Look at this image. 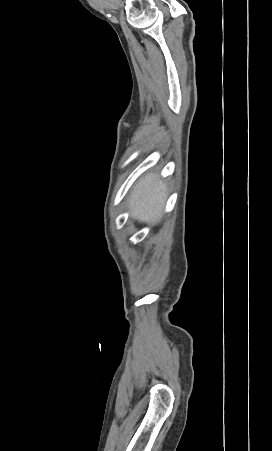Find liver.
Returning a JSON list of instances; mask_svg holds the SVG:
<instances>
[{
	"instance_id": "6515ba94",
	"label": "liver",
	"mask_w": 272,
	"mask_h": 451,
	"mask_svg": "<svg viewBox=\"0 0 272 451\" xmlns=\"http://www.w3.org/2000/svg\"><path fill=\"white\" fill-rule=\"evenodd\" d=\"M167 200V186L156 174H147L135 184L129 200L132 218L153 224L158 220Z\"/></svg>"
}]
</instances>
